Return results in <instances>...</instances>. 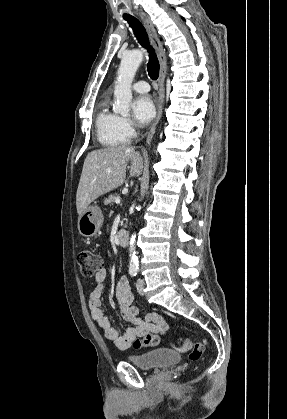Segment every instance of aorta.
Segmentation results:
<instances>
[{"label": "aorta", "mask_w": 287, "mask_h": 419, "mask_svg": "<svg viewBox=\"0 0 287 419\" xmlns=\"http://www.w3.org/2000/svg\"><path fill=\"white\" fill-rule=\"evenodd\" d=\"M143 60L141 50H132L125 53L118 68V76L114 87V97L116 99L113 110L115 113L127 116L132 101L131 85L135 73ZM129 269L137 271L139 262L136 255V235L132 234L129 242Z\"/></svg>", "instance_id": "1"}]
</instances>
